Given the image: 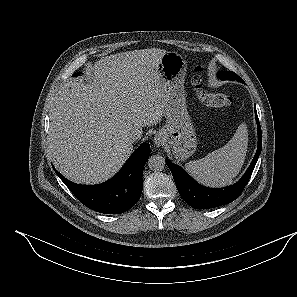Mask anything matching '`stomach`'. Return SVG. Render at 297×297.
I'll use <instances>...</instances> for the list:
<instances>
[{"label":"stomach","mask_w":297,"mask_h":297,"mask_svg":"<svg viewBox=\"0 0 297 297\" xmlns=\"http://www.w3.org/2000/svg\"><path fill=\"white\" fill-rule=\"evenodd\" d=\"M187 62L177 52H166L159 64L160 87L165 103L166 124L159 130L178 161L189 158L197 147L194 125L188 114L184 80Z\"/></svg>","instance_id":"0dacf381"}]
</instances>
